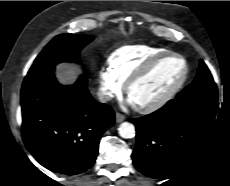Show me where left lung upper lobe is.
Wrapping results in <instances>:
<instances>
[{
	"label": "left lung upper lobe",
	"mask_w": 230,
	"mask_h": 186,
	"mask_svg": "<svg viewBox=\"0 0 230 186\" xmlns=\"http://www.w3.org/2000/svg\"><path fill=\"white\" fill-rule=\"evenodd\" d=\"M204 92H217V87L206 64L201 61L200 68L194 81L181 91L176 98L192 96Z\"/></svg>",
	"instance_id": "1"
}]
</instances>
